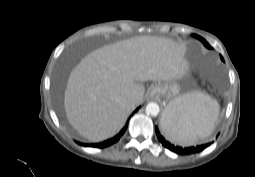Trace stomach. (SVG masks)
<instances>
[{
  "instance_id": "1",
  "label": "stomach",
  "mask_w": 255,
  "mask_h": 177,
  "mask_svg": "<svg viewBox=\"0 0 255 177\" xmlns=\"http://www.w3.org/2000/svg\"><path fill=\"white\" fill-rule=\"evenodd\" d=\"M155 92L156 95H167L168 97H177L180 93V86L178 83L174 81H168L166 83H158L152 87L151 93ZM170 111L169 104L164 110V113L162 115L161 124L162 121L165 119L166 114Z\"/></svg>"
}]
</instances>
